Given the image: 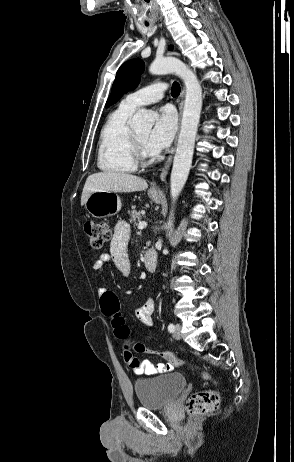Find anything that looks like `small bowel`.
I'll use <instances>...</instances> for the list:
<instances>
[{
  "label": "small bowel",
  "mask_w": 294,
  "mask_h": 462,
  "mask_svg": "<svg viewBox=\"0 0 294 462\" xmlns=\"http://www.w3.org/2000/svg\"><path fill=\"white\" fill-rule=\"evenodd\" d=\"M130 238V230L125 222H120L116 225L114 235L110 244L108 253H103L93 264V270L99 271L103 266L112 261L121 275L128 277L131 274L132 266L127 254V244ZM107 288L99 289V294L102 296ZM156 309V301L153 298L146 300L135 311L136 318L146 327L153 325V313ZM175 365L169 361L154 364L149 360L140 361L139 365L132 367L136 375H156L159 373L170 372Z\"/></svg>",
  "instance_id": "1"
}]
</instances>
